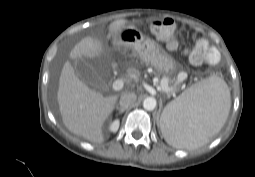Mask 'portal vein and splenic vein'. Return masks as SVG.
Segmentation results:
<instances>
[{"mask_svg":"<svg viewBox=\"0 0 255 177\" xmlns=\"http://www.w3.org/2000/svg\"><path fill=\"white\" fill-rule=\"evenodd\" d=\"M123 85H124V83H123L122 80H116V81L113 82L112 88H113L115 91H119V90H121V89L123 88ZM161 88H162L165 92H170V91H171V89H170L168 86H166V85H163Z\"/></svg>","mask_w":255,"mask_h":177,"instance_id":"portal-vein-and-splenic-vein-1","label":"portal vein and splenic vein"}]
</instances>
